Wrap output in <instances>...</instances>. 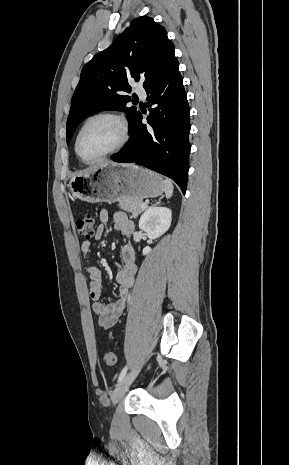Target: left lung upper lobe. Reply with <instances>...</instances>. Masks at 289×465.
<instances>
[{
    "mask_svg": "<svg viewBox=\"0 0 289 465\" xmlns=\"http://www.w3.org/2000/svg\"><path fill=\"white\" fill-rule=\"evenodd\" d=\"M178 66L174 45L165 28L147 16L134 19L110 47L95 55L82 69L67 119V142L79 123L96 111L125 112L131 119L130 128L139 111L126 107L131 101L124 95L131 92L128 79L144 80L146 89Z\"/></svg>",
    "mask_w": 289,
    "mask_h": 465,
    "instance_id": "1",
    "label": "left lung upper lobe"
}]
</instances>
